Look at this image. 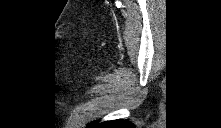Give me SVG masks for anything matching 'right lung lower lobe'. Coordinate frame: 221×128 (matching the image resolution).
<instances>
[{
  "label": "right lung lower lobe",
  "mask_w": 221,
  "mask_h": 128,
  "mask_svg": "<svg viewBox=\"0 0 221 128\" xmlns=\"http://www.w3.org/2000/svg\"><path fill=\"white\" fill-rule=\"evenodd\" d=\"M89 128H133V124L125 120H114L103 123H93Z\"/></svg>",
  "instance_id": "obj_1"
}]
</instances>
